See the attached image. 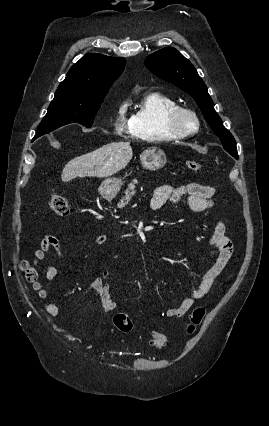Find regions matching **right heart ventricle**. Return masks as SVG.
<instances>
[{
	"mask_svg": "<svg viewBox=\"0 0 269 426\" xmlns=\"http://www.w3.org/2000/svg\"><path fill=\"white\" fill-rule=\"evenodd\" d=\"M177 106L173 98L160 92L145 94L131 116L132 135L151 143L178 139L167 129L165 121L167 112Z\"/></svg>",
	"mask_w": 269,
	"mask_h": 426,
	"instance_id": "1",
	"label": "right heart ventricle"
}]
</instances>
